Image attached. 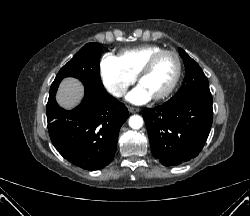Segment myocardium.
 <instances>
[{
    "mask_svg": "<svg viewBox=\"0 0 250 216\" xmlns=\"http://www.w3.org/2000/svg\"><path fill=\"white\" fill-rule=\"evenodd\" d=\"M167 54L172 55L175 58L176 65H177L176 73L170 86L161 94L152 97V99L155 101H160V100L167 98L176 88L180 80L181 74H182V61H181L180 55L174 50H166V49L161 50L150 57V59L147 61V63L143 66V68L140 70V72L137 75V80L140 83L141 80L147 74L150 73V71L153 69L158 59L162 57L163 55H167Z\"/></svg>",
    "mask_w": 250,
    "mask_h": 216,
    "instance_id": "myocardium-1",
    "label": "myocardium"
}]
</instances>
